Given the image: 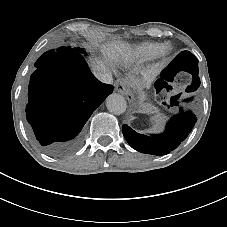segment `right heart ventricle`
I'll return each mask as SVG.
<instances>
[{
    "label": "right heart ventricle",
    "mask_w": 227,
    "mask_h": 227,
    "mask_svg": "<svg viewBox=\"0 0 227 227\" xmlns=\"http://www.w3.org/2000/svg\"><path fill=\"white\" fill-rule=\"evenodd\" d=\"M162 46L163 44L159 42H144L138 44L134 48L131 58L137 61H146L152 59L159 54Z\"/></svg>",
    "instance_id": "obj_1"
}]
</instances>
